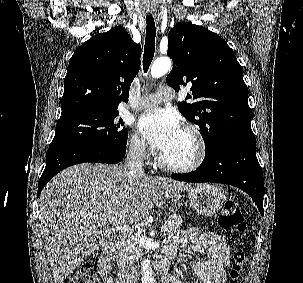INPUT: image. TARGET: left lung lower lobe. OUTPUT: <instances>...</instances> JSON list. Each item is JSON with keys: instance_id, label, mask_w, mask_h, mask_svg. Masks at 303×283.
<instances>
[{"instance_id": "0a47b994", "label": "left lung lower lobe", "mask_w": 303, "mask_h": 283, "mask_svg": "<svg viewBox=\"0 0 303 283\" xmlns=\"http://www.w3.org/2000/svg\"><path fill=\"white\" fill-rule=\"evenodd\" d=\"M172 179L201 183H224L248 193L263 215V172L256 157L254 137L235 136L217 145L198 169L187 174H173Z\"/></svg>"}]
</instances>
